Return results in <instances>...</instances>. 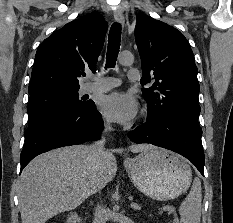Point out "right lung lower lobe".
Wrapping results in <instances>:
<instances>
[{
	"label": "right lung lower lobe",
	"mask_w": 233,
	"mask_h": 223,
	"mask_svg": "<svg viewBox=\"0 0 233 223\" xmlns=\"http://www.w3.org/2000/svg\"><path fill=\"white\" fill-rule=\"evenodd\" d=\"M102 128V116L93 101L79 110L28 127L24 133L25 145L20 156V172L41 153L99 139Z\"/></svg>",
	"instance_id": "obj_1"
}]
</instances>
